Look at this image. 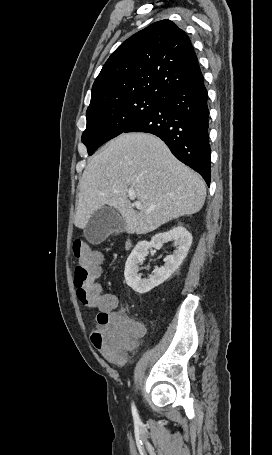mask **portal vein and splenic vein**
I'll list each match as a JSON object with an SVG mask.
<instances>
[{
	"instance_id": "portal-vein-and-splenic-vein-1",
	"label": "portal vein and splenic vein",
	"mask_w": 272,
	"mask_h": 455,
	"mask_svg": "<svg viewBox=\"0 0 272 455\" xmlns=\"http://www.w3.org/2000/svg\"><path fill=\"white\" fill-rule=\"evenodd\" d=\"M128 196H129V198H130L131 200L134 201L133 205H134L137 209H142V208H143V206H142V204H141L140 201H135L136 195H135V192H134V191H129Z\"/></svg>"
}]
</instances>
